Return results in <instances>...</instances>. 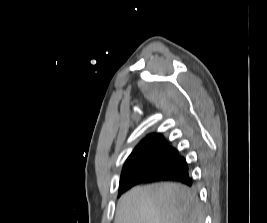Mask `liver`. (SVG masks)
<instances>
[{
  "label": "liver",
  "mask_w": 267,
  "mask_h": 223,
  "mask_svg": "<svg viewBox=\"0 0 267 223\" xmlns=\"http://www.w3.org/2000/svg\"><path fill=\"white\" fill-rule=\"evenodd\" d=\"M200 204L189 188L176 183L136 187L117 205L114 223H203Z\"/></svg>",
  "instance_id": "6515ba94"
}]
</instances>
